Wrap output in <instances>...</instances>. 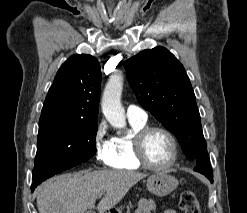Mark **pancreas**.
I'll use <instances>...</instances> for the list:
<instances>
[{
    "label": "pancreas",
    "mask_w": 247,
    "mask_h": 213,
    "mask_svg": "<svg viewBox=\"0 0 247 213\" xmlns=\"http://www.w3.org/2000/svg\"><path fill=\"white\" fill-rule=\"evenodd\" d=\"M133 206L131 204V202H129V205L127 206V213H130V209H132Z\"/></svg>",
    "instance_id": "1"
}]
</instances>
